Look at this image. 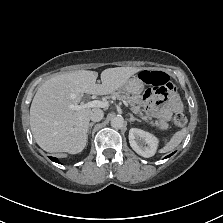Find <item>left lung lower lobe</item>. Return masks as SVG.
Here are the masks:
<instances>
[{"mask_svg":"<svg viewBox=\"0 0 223 223\" xmlns=\"http://www.w3.org/2000/svg\"><path fill=\"white\" fill-rule=\"evenodd\" d=\"M171 155H173V153H172V154H170V155H168V156H166V158L170 157Z\"/></svg>","mask_w":223,"mask_h":223,"instance_id":"0a47b994","label":"left lung lower lobe"}]
</instances>
